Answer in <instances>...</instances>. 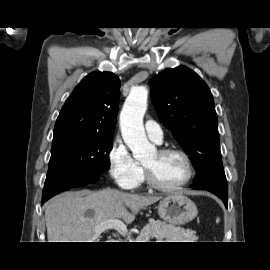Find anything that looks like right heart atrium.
I'll return each mask as SVG.
<instances>
[{
	"instance_id": "1",
	"label": "right heart atrium",
	"mask_w": 270,
	"mask_h": 270,
	"mask_svg": "<svg viewBox=\"0 0 270 270\" xmlns=\"http://www.w3.org/2000/svg\"><path fill=\"white\" fill-rule=\"evenodd\" d=\"M109 174L123 189L135 188L142 176V168L132 157L121 139L114 140L108 152Z\"/></svg>"
}]
</instances>
